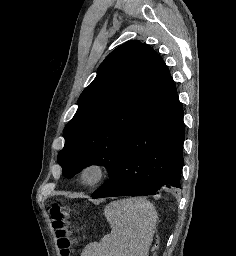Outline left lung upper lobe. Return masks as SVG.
I'll return each mask as SVG.
<instances>
[{
	"instance_id": "obj_1",
	"label": "left lung upper lobe",
	"mask_w": 236,
	"mask_h": 256,
	"mask_svg": "<svg viewBox=\"0 0 236 256\" xmlns=\"http://www.w3.org/2000/svg\"><path fill=\"white\" fill-rule=\"evenodd\" d=\"M176 93L162 58L147 44L126 42L111 52L78 99V110L63 132L58 154L71 178L92 164L109 176L139 122Z\"/></svg>"
}]
</instances>
